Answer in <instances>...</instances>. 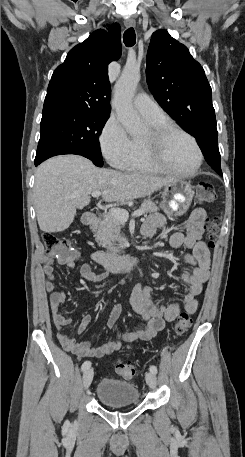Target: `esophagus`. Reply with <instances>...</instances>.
<instances>
[{
  "label": "esophagus",
  "instance_id": "esophagus-1",
  "mask_svg": "<svg viewBox=\"0 0 245 457\" xmlns=\"http://www.w3.org/2000/svg\"><path fill=\"white\" fill-rule=\"evenodd\" d=\"M124 25H125V27H127V28H129V27H135L136 22H135L134 18H128L127 20L124 21Z\"/></svg>",
  "mask_w": 245,
  "mask_h": 457
}]
</instances>
